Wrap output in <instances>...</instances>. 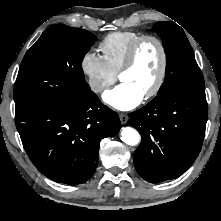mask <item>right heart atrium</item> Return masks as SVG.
<instances>
[{
    "mask_svg": "<svg viewBox=\"0 0 221 221\" xmlns=\"http://www.w3.org/2000/svg\"><path fill=\"white\" fill-rule=\"evenodd\" d=\"M80 69L89 88L96 94L105 92L116 80V74L104 58L91 50L82 56Z\"/></svg>",
    "mask_w": 221,
    "mask_h": 221,
    "instance_id": "right-heart-atrium-1",
    "label": "right heart atrium"
}]
</instances>
